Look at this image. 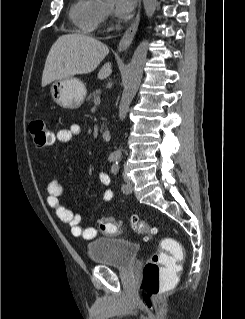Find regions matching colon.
Listing matches in <instances>:
<instances>
[{
    "label": "colon",
    "mask_w": 245,
    "mask_h": 319,
    "mask_svg": "<svg viewBox=\"0 0 245 319\" xmlns=\"http://www.w3.org/2000/svg\"><path fill=\"white\" fill-rule=\"evenodd\" d=\"M29 131L36 147H47L53 143V133L41 118H34L29 124ZM133 228L140 234L153 236L157 229L136 215H131ZM98 229L108 235L123 232L121 223L111 217L103 216L97 220ZM184 258L183 247L172 238H165L160 243V250L155 252L143 268V279L138 287V295L143 303L150 304L170 284L171 272L178 271L175 260Z\"/></svg>",
    "instance_id": "colon-1"
}]
</instances>
